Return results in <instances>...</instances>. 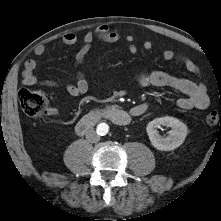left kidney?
I'll return each instance as SVG.
<instances>
[{"label": "left kidney", "instance_id": "1", "mask_svg": "<svg viewBox=\"0 0 221 221\" xmlns=\"http://www.w3.org/2000/svg\"><path fill=\"white\" fill-rule=\"evenodd\" d=\"M161 126L170 127L168 136L162 138L157 131ZM147 134L153 147L160 151H171L178 148L185 140L188 132L187 126L174 117L165 116L152 120L148 123Z\"/></svg>", "mask_w": 221, "mask_h": 221}]
</instances>
